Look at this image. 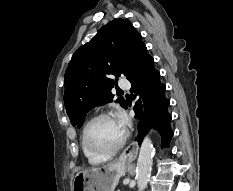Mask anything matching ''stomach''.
Instances as JSON below:
<instances>
[{
    "instance_id": "stomach-1",
    "label": "stomach",
    "mask_w": 233,
    "mask_h": 191,
    "mask_svg": "<svg viewBox=\"0 0 233 191\" xmlns=\"http://www.w3.org/2000/svg\"><path fill=\"white\" fill-rule=\"evenodd\" d=\"M125 171L126 166L120 161L82 169L75 175L72 191H114Z\"/></svg>"
}]
</instances>
